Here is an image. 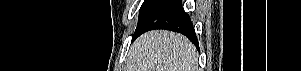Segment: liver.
Listing matches in <instances>:
<instances>
[{"instance_id": "1", "label": "liver", "mask_w": 301, "mask_h": 71, "mask_svg": "<svg viewBox=\"0 0 301 71\" xmlns=\"http://www.w3.org/2000/svg\"><path fill=\"white\" fill-rule=\"evenodd\" d=\"M198 52L183 35L154 30L131 46L128 71H198Z\"/></svg>"}]
</instances>
